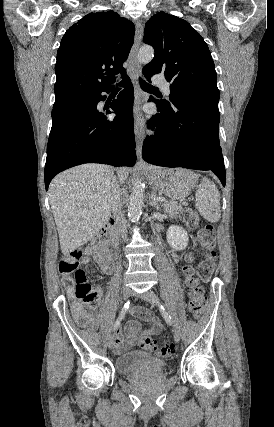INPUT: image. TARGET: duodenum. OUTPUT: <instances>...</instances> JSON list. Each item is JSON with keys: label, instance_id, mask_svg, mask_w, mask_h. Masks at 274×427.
Segmentation results:
<instances>
[{"label": "duodenum", "instance_id": "obj_1", "mask_svg": "<svg viewBox=\"0 0 274 427\" xmlns=\"http://www.w3.org/2000/svg\"><path fill=\"white\" fill-rule=\"evenodd\" d=\"M106 235L110 238L112 244L115 243L116 240V232H115V222L113 219H110L104 227Z\"/></svg>", "mask_w": 274, "mask_h": 427}]
</instances>
